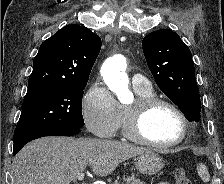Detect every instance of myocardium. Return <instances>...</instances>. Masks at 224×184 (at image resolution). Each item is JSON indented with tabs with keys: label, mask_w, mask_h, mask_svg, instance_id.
Masks as SVG:
<instances>
[{
	"label": "myocardium",
	"mask_w": 224,
	"mask_h": 184,
	"mask_svg": "<svg viewBox=\"0 0 224 184\" xmlns=\"http://www.w3.org/2000/svg\"><path fill=\"white\" fill-rule=\"evenodd\" d=\"M159 106H166L176 113L182 124L180 137L172 142L161 144L149 139L144 126L148 116ZM189 133V122L184 112L172 101L160 97L139 98L127 109L125 136L130 140L155 149H170L181 144Z\"/></svg>",
	"instance_id": "f54148a6"
}]
</instances>
